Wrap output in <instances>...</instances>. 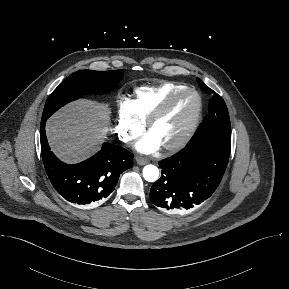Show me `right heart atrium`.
I'll return each mask as SVG.
<instances>
[{
	"label": "right heart atrium",
	"instance_id": "right-heart-atrium-1",
	"mask_svg": "<svg viewBox=\"0 0 289 289\" xmlns=\"http://www.w3.org/2000/svg\"><path fill=\"white\" fill-rule=\"evenodd\" d=\"M144 123L135 115L132 101L128 98L120 99L117 109L115 132L118 138L128 143L143 132Z\"/></svg>",
	"mask_w": 289,
	"mask_h": 289
}]
</instances>
